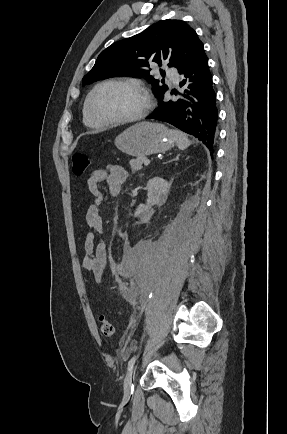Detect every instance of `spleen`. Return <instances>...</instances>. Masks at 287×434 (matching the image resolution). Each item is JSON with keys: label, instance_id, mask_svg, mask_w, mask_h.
<instances>
[{"label": "spleen", "instance_id": "obj_1", "mask_svg": "<svg viewBox=\"0 0 287 434\" xmlns=\"http://www.w3.org/2000/svg\"><path fill=\"white\" fill-rule=\"evenodd\" d=\"M170 133L173 136L179 149L185 150L191 145V141L185 133L174 129H171Z\"/></svg>", "mask_w": 287, "mask_h": 434}]
</instances>
